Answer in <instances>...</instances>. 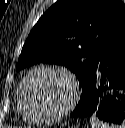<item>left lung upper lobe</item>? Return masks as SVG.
<instances>
[{
    "label": "left lung upper lobe",
    "mask_w": 125,
    "mask_h": 128,
    "mask_svg": "<svg viewBox=\"0 0 125 128\" xmlns=\"http://www.w3.org/2000/svg\"><path fill=\"white\" fill-rule=\"evenodd\" d=\"M124 28L121 0H58L31 30L16 70L41 62L63 65L83 87Z\"/></svg>",
    "instance_id": "1"
}]
</instances>
